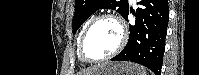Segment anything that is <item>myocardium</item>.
<instances>
[{
  "instance_id": "f54148a6",
  "label": "myocardium",
  "mask_w": 199,
  "mask_h": 75,
  "mask_svg": "<svg viewBox=\"0 0 199 75\" xmlns=\"http://www.w3.org/2000/svg\"><path fill=\"white\" fill-rule=\"evenodd\" d=\"M102 20H110L117 25V27L119 28V31H120V39H119L117 47L112 52H110L109 54H107L101 58L92 59V58L87 57L84 53V42H85V39H86L90 29L97 22L102 21ZM127 39H128L127 28L121 18H119L118 16H116L114 14H100V15L92 18L88 22V24L86 25L84 30L82 31L81 36L78 41V56H79L80 60L85 63H98V62L108 60V59L116 56L118 53H120V51L125 46Z\"/></svg>"
}]
</instances>
